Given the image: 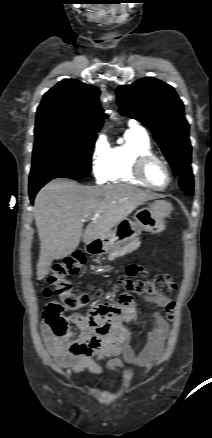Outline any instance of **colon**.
I'll return each mask as SVG.
<instances>
[{"label":"colon","instance_id":"obj_1","mask_svg":"<svg viewBox=\"0 0 212 438\" xmlns=\"http://www.w3.org/2000/svg\"><path fill=\"white\" fill-rule=\"evenodd\" d=\"M84 264V256L76 252L56 264L48 282L54 286L55 292L60 299L49 302L44 309V320L59 336L69 335L66 311H75L87 306L91 301L88 293L74 294L72 284L67 277L77 274ZM128 294H136L142 297H168L176 290V284L168 274L157 275L147 281L123 279L119 283ZM49 295L50 290H45Z\"/></svg>","mask_w":212,"mask_h":438}]
</instances>
